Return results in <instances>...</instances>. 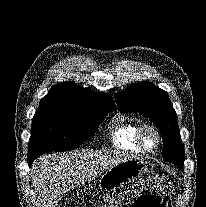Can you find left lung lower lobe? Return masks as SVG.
<instances>
[{"label": "left lung lower lobe", "instance_id": "obj_1", "mask_svg": "<svg viewBox=\"0 0 206 207\" xmlns=\"http://www.w3.org/2000/svg\"><path fill=\"white\" fill-rule=\"evenodd\" d=\"M179 169L183 171V167H179Z\"/></svg>", "mask_w": 206, "mask_h": 207}]
</instances>
